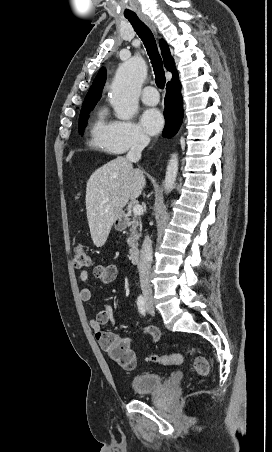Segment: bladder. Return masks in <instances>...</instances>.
Masks as SVG:
<instances>
[{
	"label": "bladder",
	"instance_id": "1",
	"mask_svg": "<svg viewBox=\"0 0 272 452\" xmlns=\"http://www.w3.org/2000/svg\"><path fill=\"white\" fill-rule=\"evenodd\" d=\"M136 395H146L163 386V378L155 372H144L134 375L129 383Z\"/></svg>",
	"mask_w": 272,
	"mask_h": 452
}]
</instances>
